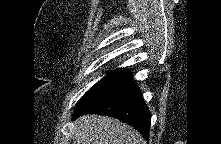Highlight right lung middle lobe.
Segmentation results:
<instances>
[{
    "instance_id": "dd1d6c3e",
    "label": "right lung middle lobe",
    "mask_w": 221,
    "mask_h": 144,
    "mask_svg": "<svg viewBox=\"0 0 221 144\" xmlns=\"http://www.w3.org/2000/svg\"><path fill=\"white\" fill-rule=\"evenodd\" d=\"M131 74L132 72L130 69H118L109 72L82 96L74 113L82 111L92 105L96 100L102 97L109 90L118 86Z\"/></svg>"
}]
</instances>
